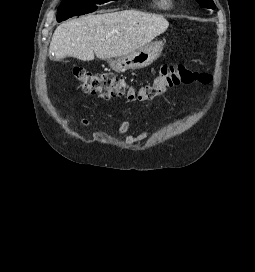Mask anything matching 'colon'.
I'll list each match as a JSON object with an SVG mask.
<instances>
[{"instance_id":"5ec220e1","label":"colon","mask_w":255,"mask_h":272,"mask_svg":"<svg viewBox=\"0 0 255 272\" xmlns=\"http://www.w3.org/2000/svg\"><path fill=\"white\" fill-rule=\"evenodd\" d=\"M73 75L79 87L86 93L104 99L126 95L130 99L150 101L168 89L195 81L208 83L211 75L193 71L182 64H167L159 68L152 82L138 88L130 86L124 76L114 73H97L84 68H75Z\"/></svg>"}]
</instances>
